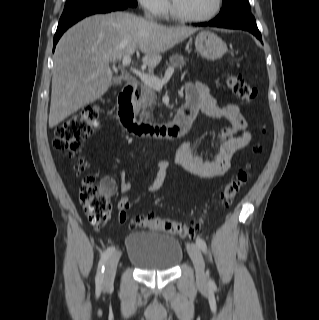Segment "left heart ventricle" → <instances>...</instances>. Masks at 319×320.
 <instances>
[{"instance_id": "obj_1", "label": "left heart ventricle", "mask_w": 319, "mask_h": 320, "mask_svg": "<svg viewBox=\"0 0 319 320\" xmlns=\"http://www.w3.org/2000/svg\"><path fill=\"white\" fill-rule=\"evenodd\" d=\"M176 11L185 16H204L215 7V0H172Z\"/></svg>"}]
</instances>
